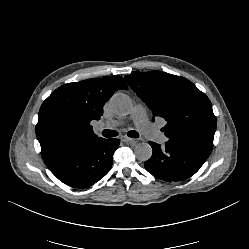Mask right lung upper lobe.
Instances as JSON below:
<instances>
[{"instance_id": "obj_1", "label": "right lung upper lobe", "mask_w": 249, "mask_h": 249, "mask_svg": "<svg viewBox=\"0 0 249 249\" xmlns=\"http://www.w3.org/2000/svg\"><path fill=\"white\" fill-rule=\"evenodd\" d=\"M128 89L119 75L87 79L57 88L41 105L36 136L41 156L49 164L76 146L98 141L90 122L117 90Z\"/></svg>"}]
</instances>
